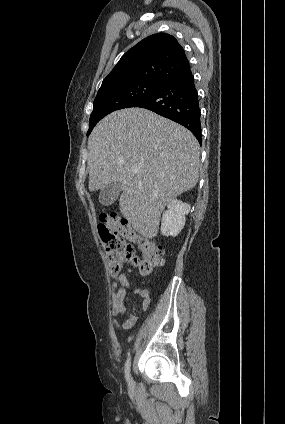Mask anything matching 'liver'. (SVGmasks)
<instances>
[{
	"instance_id": "1",
	"label": "liver",
	"mask_w": 285,
	"mask_h": 424,
	"mask_svg": "<svg viewBox=\"0 0 285 424\" xmlns=\"http://www.w3.org/2000/svg\"><path fill=\"white\" fill-rule=\"evenodd\" d=\"M199 149L188 129L152 111H115L88 139L89 190L119 182L120 212L136 232L152 239L165 206L197 184Z\"/></svg>"
}]
</instances>
